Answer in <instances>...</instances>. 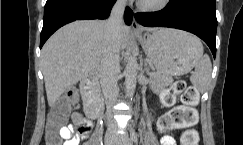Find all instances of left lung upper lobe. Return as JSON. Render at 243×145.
I'll return each mask as SVG.
<instances>
[{"instance_id": "left-lung-upper-lobe-1", "label": "left lung upper lobe", "mask_w": 243, "mask_h": 145, "mask_svg": "<svg viewBox=\"0 0 243 145\" xmlns=\"http://www.w3.org/2000/svg\"><path fill=\"white\" fill-rule=\"evenodd\" d=\"M170 1L183 2L193 6L194 8L215 9V0H170Z\"/></svg>"}]
</instances>
